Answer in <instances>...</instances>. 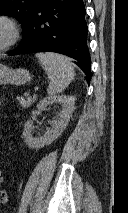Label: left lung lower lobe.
<instances>
[{
	"instance_id": "0a47b994",
	"label": "left lung lower lobe",
	"mask_w": 128,
	"mask_h": 213,
	"mask_svg": "<svg viewBox=\"0 0 128 213\" xmlns=\"http://www.w3.org/2000/svg\"><path fill=\"white\" fill-rule=\"evenodd\" d=\"M85 14L83 0H39L21 43L8 54L43 51L64 54L78 61L90 81Z\"/></svg>"
}]
</instances>
